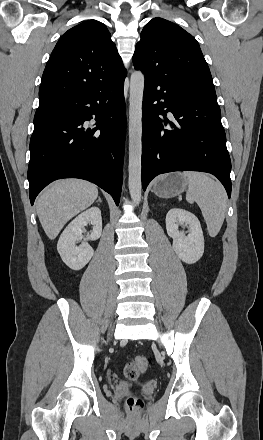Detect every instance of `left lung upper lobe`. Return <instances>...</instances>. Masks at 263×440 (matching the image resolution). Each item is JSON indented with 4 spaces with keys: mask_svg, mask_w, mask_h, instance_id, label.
Wrapping results in <instances>:
<instances>
[{
    "mask_svg": "<svg viewBox=\"0 0 263 440\" xmlns=\"http://www.w3.org/2000/svg\"><path fill=\"white\" fill-rule=\"evenodd\" d=\"M145 76L174 80L193 92L216 96L212 76L195 38L162 18L150 20L133 55Z\"/></svg>",
    "mask_w": 263,
    "mask_h": 440,
    "instance_id": "obj_1",
    "label": "left lung upper lobe"
}]
</instances>
